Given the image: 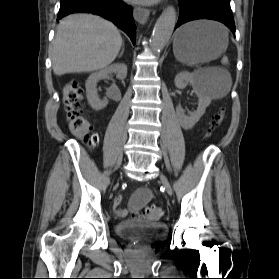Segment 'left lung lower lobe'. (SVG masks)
Masks as SVG:
<instances>
[{"label": "left lung lower lobe", "mask_w": 279, "mask_h": 279, "mask_svg": "<svg viewBox=\"0 0 279 279\" xmlns=\"http://www.w3.org/2000/svg\"><path fill=\"white\" fill-rule=\"evenodd\" d=\"M179 7V20L176 27L196 19H211L224 23L235 35L230 0H179Z\"/></svg>", "instance_id": "obj_1"}]
</instances>
